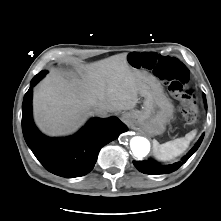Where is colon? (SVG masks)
Wrapping results in <instances>:
<instances>
[{
    "label": "colon",
    "mask_w": 221,
    "mask_h": 221,
    "mask_svg": "<svg viewBox=\"0 0 221 221\" xmlns=\"http://www.w3.org/2000/svg\"><path fill=\"white\" fill-rule=\"evenodd\" d=\"M132 63L137 68L151 70L157 78L164 81L170 94L179 100L181 111L187 120L191 123L197 120L195 93L189 86V71L181 61L157 53H144L134 56Z\"/></svg>",
    "instance_id": "5ec220e1"
}]
</instances>
